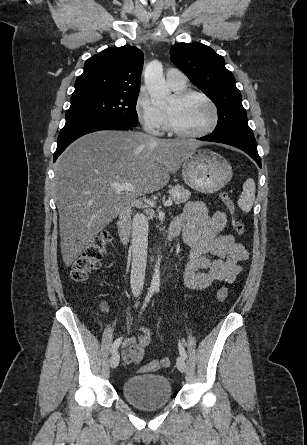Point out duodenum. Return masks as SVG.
<instances>
[{
    "label": "duodenum",
    "mask_w": 307,
    "mask_h": 445,
    "mask_svg": "<svg viewBox=\"0 0 307 445\" xmlns=\"http://www.w3.org/2000/svg\"><path fill=\"white\" fill-rule=\"evenodd\" d=\"M131 213L132 210L130 207L125 208L120 216H119V220H118V232H119V237L121 239V241L124 244H128L130 241V236H131ZM179 235V232L170 227L169 229V233L165 242V246L169 247L171 245V243L173 242V240Z\"/></svg>",
    "instance_id": "410a0bca"
}]
</instances>
